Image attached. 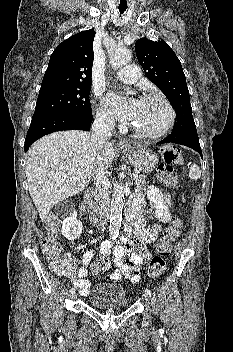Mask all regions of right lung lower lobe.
<instances>
[{"label":"right lung lower lobe","instance_id":"98d812e1","mask_svg":"<svg viewBox=\"0 0 233 352\" xmlns=\"http://www.w3.org/2000/svg\"><path fill=\"white\" fill-rule=\"evenodd\" d=\"M92 122V111L56 113L32 118L24 144L26 152L30 145L44 135L62 130L88 131Z\"/></svg>","mask_w":233,"mask_h":352}]
</instances>
